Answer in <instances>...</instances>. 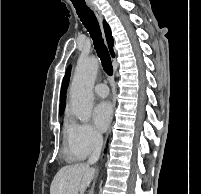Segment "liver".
Listing matches in <instances>:
<instances>
[{
	"mask_svg": "<svg viewBox=\"0 0 201 194\" xmlns=\"http://www.w3.org/2000/svg\"><path fill=\"white\" fill-rule=\"evenodd\" d=\"M95 175V169L84 163L62 167L54 176L50 194H84Z\"/></svg>",
	"mask_w": 201,
	"mask_h": 194,
	"instance_id": "1",
	"label": "liver"
}]
</instances>
